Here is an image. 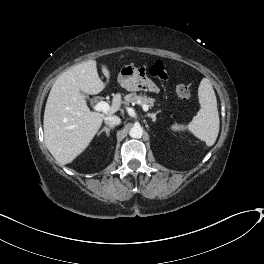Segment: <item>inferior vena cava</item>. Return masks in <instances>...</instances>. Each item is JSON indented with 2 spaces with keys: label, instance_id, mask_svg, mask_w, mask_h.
Segmentation results:
<instances>
[{
  "label": "inferior vena cava",
  "instance_id": "602c4592",
  "mask_svg": "<svg viewBox=\"0 0 264 264\" xmlns=\"http://www.w3.org/2000/svg\"><path fill=\"white\" fill-rule=\"evenodd\" d=\"M104 120H105V124L110 127H114L121 123V119L117 116H109V117H106Z\"/></svg>",
  "mask_w": 264,
  "mask_h": 264
}]
</instances>
